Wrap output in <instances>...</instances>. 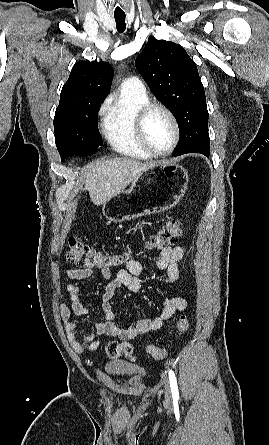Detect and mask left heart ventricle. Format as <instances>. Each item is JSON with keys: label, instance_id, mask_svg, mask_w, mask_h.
<instances>
[{"label": "left heart ventricle", "instance_id": "obj_1", "mask_svg": "<svg viewBox=\"0 0 269 445\" xmlns=\"http://www.w3.org/2000/svg\"><path fill=\"white\" fill-rule=\"evenodd\" d=\"M145 136L155 151H166L174 138V128L170 118L161 110L152 111L145 123Z\"/></svg>", "mask_w": 269, "mask_h": 445}]
</instances>
